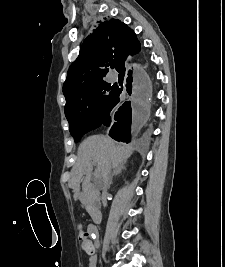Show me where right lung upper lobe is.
I'll return each mask as SVG.
<instances>
[{"label":"right lung upper lobe","mask_w":225,"mask_h":267,"mask_svg":"<svg viewBox=\"0 0 225 267\" xmlns=\"http://www.w3.org/2000/svg\"><path fill=\"white\" fill-rule=\"evenodd\" d=\"M139 43L134 31L118 19H105L88 36L71 64L63 93L70 100L85 87L104 81L109 68L120 72Z\"/></svg>","instance_id":"obj_1"}]
</instances>
